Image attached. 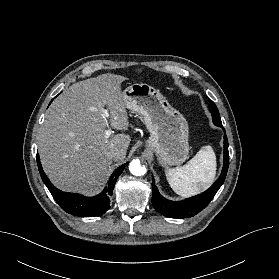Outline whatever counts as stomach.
Masks as SVG:
<instances>
[{"label": "stomach", "mask_w": 279, "mask_h": 279, "mask_svg": "<svg viewBox=\"0 0 279 279\" xmlns=\"http://www.w3.org/2000/svg\"><path fill=\"white\" fill-rule=\"evenodd\" d=\"M126 107L137 112L150 132L146 147L164 166L183 163L189 154L188 123L158 89L134 83L124 91Z\"/></svg>", "instance_id": "1"}]
</instances>
